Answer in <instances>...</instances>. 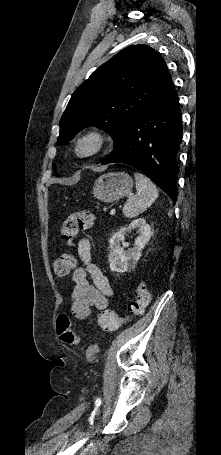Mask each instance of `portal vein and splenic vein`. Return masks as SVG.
<instances>
[{
    "mask_svg": "<svg viewBox=\"0 0 221 455\" xmlns=\"http://www.w3.org/2000/svg\"><path fill=\"white\" fill-rule=\"evenodd\" d=\"M115 213V209H111L110 215H113Z\"/></svg>",
    "mask_w": 221,
    "mask_h": 455,
    "instance_id": "obj_1",
    "label": "portal vein and splenic vein"
}]
</instances>
